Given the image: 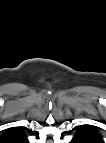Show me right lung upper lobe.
<instances>
[{
    "label": "right lung upper lobe",
    "instance_id": "1",
    "mask_svg": "<svg viewBox=\"0 0 106 143\" xmlns=\"http://www.w3.org/2000/svg\"><path fill=\"white\" fill-rule=\"evenodd\" d=\"M25 135L21 127H12L7 129L0 137L1 143H22L25 140Z\"/></svg>",
    "mask_w": 106,
    "mask_h": 143
}]
</instances>
